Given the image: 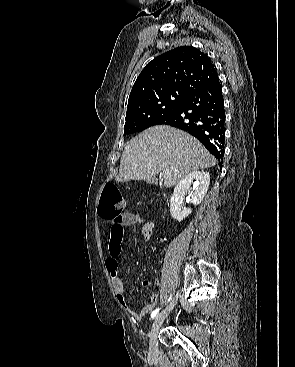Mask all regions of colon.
<instances>
[{"instance_id": "colon-1", "label": "colon", "mask_w": 295, "mask_h": 367, "mask_svg": "<svg viewBox=\"0 0 295 367\" xmlns=\"http://www.w3.org/2000/svg\"><path fill=\"white\" fill-rule=\"evenodd\" d=\"M126 207V202L115 184H106L101 197V216L111 221H118Z\"/></svg>"}]
</instances>
